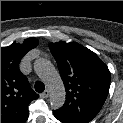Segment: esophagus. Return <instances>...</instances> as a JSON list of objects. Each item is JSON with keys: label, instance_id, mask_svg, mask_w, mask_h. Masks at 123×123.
Returning a JSON list of instances; mask_svg holds the SVG:
<instances>
[{"label": "esophagus", "instance_id": "obj_1", "mask_svg": "<svg viewBox=\"0 0 123 123\" xmlns=\"http://www.w3.org/2000/svg\"><path fill=\"white\" fill-rule=\"evenodd\" d=\"M49 96V91L48 90H45L44 92H42L41 94H40V97L41 98H47Z\"/></svg>", "mask_w": 123, "mask_h": 123}]
</instances>
